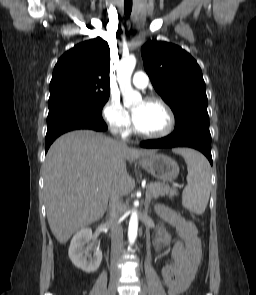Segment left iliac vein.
Instances as JSON below:
<instances>
[{
	"label": "left iliac vein",
	"mask_w": 256,
	"mask_h": 295,
	"mask_svg": "<svg viewBox=\"0 0 256 295\" xmlns=\"http://www.w3.org/2000/svg\"><path fill=\"white\" fill-rule=\"evenodd\" d=\"M139 295H146V293H145V291L141 290V291L139 292Z\"/></svg>",
	"instance_id": "4c4485c4"
}]
</instances>
